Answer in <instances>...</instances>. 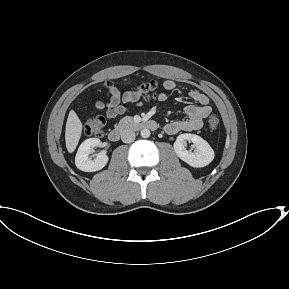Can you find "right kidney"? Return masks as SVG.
I'll list each match as a JSON object with an SVG mask.
<instances>
[{"mask_svg": "<svg viewBox=\"0 0 289 289\" xmlns=\"http://www.w3.org/2000/svg\"><path fill=\"white\" fill-rule=\"evenodd\" d=\"M100 139H86L78 148L75 164L78 169L85 172H95L101 170L108 162V156L105 151L97 155H92L94 147L100 146Z\"/></svg>", "mask_w": 289, "mask_h": 289, "instance_id": "1", "label": "right kidney"}]
</instances>
